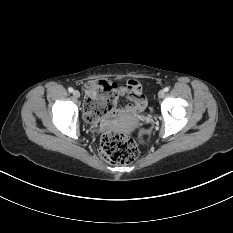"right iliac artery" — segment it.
<instances>
[{
	"label": "right iliac artery",
	"mask_w": 233,
	"mask_h": 233,
	"mask_svg": "<svg viewBox=\"0 0 233 233\" xmlns=\"http://www.w3.org/2000/svg\"><path fill=\"white\" fill-rule=\"evenodd\" d=\"M68 91H69L70 93H72V92H73V88L70 87V88L68 89Z\"/></svg>",
	"instance_id": "82829eb1"
}]
</instances>
